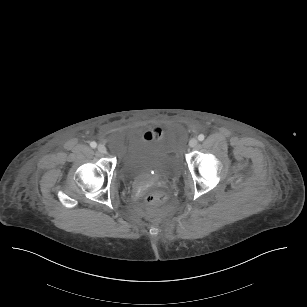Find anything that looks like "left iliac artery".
Returning <instances> with one entry per match:
<instances>
[{
	"label": "left iliac artery",
	"mask_w": 307,
	"mask_h": 307,
	"mask_svg": "<svg viewBox=\"0 0 307 307\" xmlns=\"http://www.w3.org/2000/svg\"><path fill=\"white\" fill-rule=\"evenodd\" d=\"M205 139V136L203 135V134H200L199 136H198V140L199 141H203Z\"/></svg>",
	"instance_id": "left-iliac-artery-1"
}]
</instances>
